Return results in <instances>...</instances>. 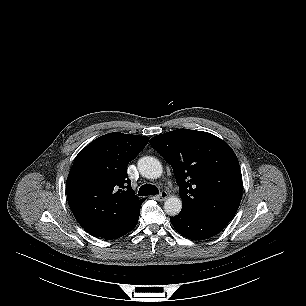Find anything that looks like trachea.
I'll return each instance as SVG.
<instances>
[{"mask_svg": "<svg viewBox=\"0 0 306 306\" xmlns=\"http://www.w3.org/2000/svg\"><path fill=\"white\" fill-rule=\"evenodd\" d=\"M156 194H159V190L156 186L151 185V184L142 185L138 191L139 196H148V195H156Z\"/></svg>", "mask_w": 306, "mask_h": 306, "instance_id": "obj_1", "label": "trachea"}]
</instances>
